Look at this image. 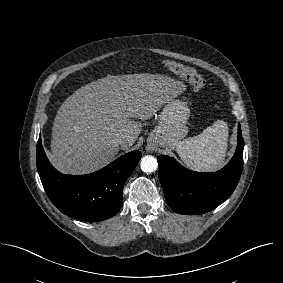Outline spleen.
Masks as SVG:
<instances>
[{"label": "spleen", "instance_id": "spleen-1", "mask_svg": "<svg viewBox=\"0 0 283 283\" xmlns=\"http://www.w3.org/2000/svg\"><path fill=\"white\" fill-rule=\"evenodd\" d=\"M228 142V125L217 120L212 126L177 145V153L184 164L192 170L212 172L224 165Z\"/></svg>", "mask_w": 283, "mask_h": 283}]
</instances>
